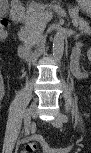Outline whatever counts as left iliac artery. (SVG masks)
<instances>
[{"instance_id": "44dca946", "label": "left iliac artery", "mask_w": 91, "mask_h": 153, "mask_svg": "<svg viewBox=\"0 0 91 153\" xmlns=\"http://www.w3.org/2000/svg\"><path fill=\"white\" fill-rule=\"evenodd\" d=\"M61 119L63 122H68V117L65 114H61Z\"/></svg>"}]
</instances>
